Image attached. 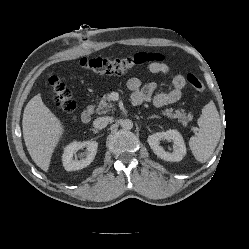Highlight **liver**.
Returning a JSON list of instances; mask_svg holds the SVG:
<instances>
[{"instance_id":"6515ba94","label":"liver","mask_w":249,"mask_h":249,"mask_svg":"<svg viewBox=\"0 0 249 249\" xmlns=\"http://www.w3.org/2000/svg\"><path fill=\"white\" fill-rule=\"evenodd\" d=\"M22 127L25 145L32 160L47 172L54 149L64 132V126L43 103L40 94L27 103Z\"/></svg>"}]
</instances>
